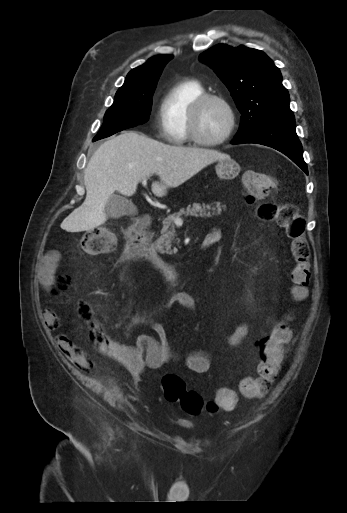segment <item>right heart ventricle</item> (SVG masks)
Masks as SVG:
<instances>
[{
  "label": "right heart ventricle",
  "instance_id": "e07e8e85",
  "mask_svg": "<svg viewBox=\"0 0 347 513\" xmlns=\"http://www.w3.org/2000/svg\"><path fill=\"white\" fill-rule=\"evenodd\" d=\"M204 93V87L193 79L177 81L166 90L160 102L159 120L161 134L169 143L183 145L190 142L189 108Z\"/></svg>",
  "mask_w": 347,
  "mask_h": 513
}]
</instances>
